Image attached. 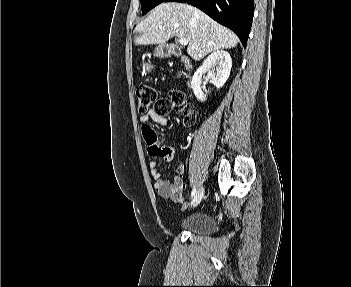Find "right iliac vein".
Here are the masks:
<instances>
[{
  "label": "right iliac vein",
  "instance_id": "63e3f726",
  "mask_svg": "<svg viewBox=\"0 0 351 287\" xmlns=\"http://www.w3.org/2000/svg\"><path fill=\"white\" fill-rule=\"evenodd\" d=\"M204 195V188L200 187L191 201V207H196Z\"/></svg>",
  "mask_w": 351,
  "mask_h": 287
}]
</instances>
